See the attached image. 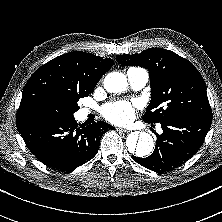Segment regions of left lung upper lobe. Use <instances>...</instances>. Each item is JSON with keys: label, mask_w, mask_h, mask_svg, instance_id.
I'll use <instances>...</instances> for the list:
<instances>
[{"label": "left lung upper lobe", "mask_w": 222, "mask_h": 222, "mask_svg": "<svg viewBox=\"0 0 222 222\" xmlns=\"http://www.w3.org/2000/svg\"><path fill=\"white\" fill-rule=\"evenodd\" d=\"M116 61L123 66L149 70L151 101L143 116L146 123H159L185 114L212 117L204 80L190 61L162 48L119 55Z\"/></svg>", "instance_id": "left-lung-upper-lobe-1"}]
</instances>
